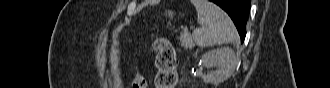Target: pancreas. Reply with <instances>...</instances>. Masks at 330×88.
<instances>
[{
  "mask_svg": "<svg viewBox=\"0 0 330 88\" xmlns=\"http://www.w3.org/2000/svg\"><path fill=\"white\" fill-rule=\"evenodd\" d=\"M179 40L181 47H183L184 49L192 48L194 45L192 41V37L189 33H185V32L181 33Z\"/></svg>",
  "mask_w": 330,
  "mask_h": 88,
  "instance_id": "1",
  "label": "pancreas"
}]
</instances>
